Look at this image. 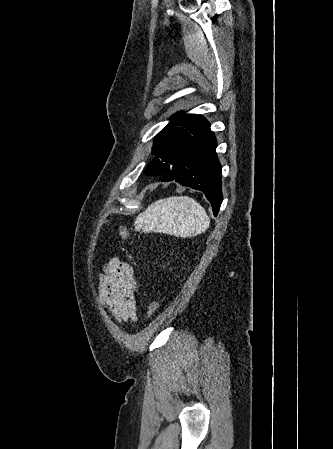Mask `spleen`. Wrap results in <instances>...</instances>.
Wrapping results in <instances>:
<instances>
[{"mask_svg": "<svg viewBox=\"0 0 333 449\" xmlns=\"http://www.w3.org/2000/svg\"><path fill=\"white\" fill-rule=\"evenodd\" d=\"M210 225L206 210L193 198L172 196L157 200L139 214L135 228L144 232H159L178 237L196 236Z\"/></svg>", "mask_w": 333, "mask_h": 449, "instance_id": "obj_1", "label": "spleen"}]
</instances>
